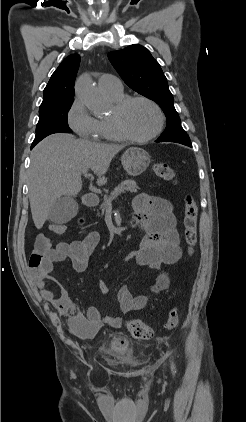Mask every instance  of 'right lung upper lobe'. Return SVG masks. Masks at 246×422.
<instances>
[{
  "mask_svg": "<svg viewBox=\"0 0 246 422\" xmlns=\"http://www.w3.org/2000/svg\"><path fill=\"white\" fill-rule=\"evenodd\" d=\"M79 63L80 56L78 54H72L62 61L44 89V97L40 107L74 99V82Z\"/></svg>",
  "mask_w": 246,
  "mask_h": 422,
  "instance_id": "cb5924a9",
  "label": "right lung upper lobe"
}]
</instances>
